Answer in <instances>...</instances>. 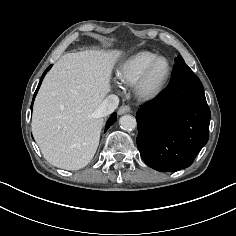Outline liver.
Returning a JSON list of instances; mask_svg holds the SVG:
<instances>
[{"instance_id": "obj_1", "label": "liver", "mask_w": 236, "mask_h": 236, "mask_svg": "<svg viewBox=\"0 0 236 236\" xmlns=\"http://www.w3.org/2000/svg\"><path fill=\"white\" fill-rule=\"evenodd\" d=\"M120 52L69 53L45 76L36 96L32 133L52 165L78 170L93 158L103 117L98 108L110 91V74Z\"/></svg>"}]
</instances>
